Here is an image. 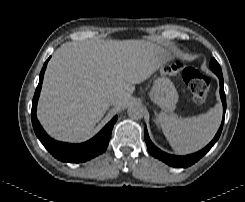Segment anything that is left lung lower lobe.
I'll return each instance as SVG.
<instances>
[{
	"instance_id": "left-lung-lower-lobe-1",
	"label": "left lung lower lobe",
	"mask_w": 245,
	"mask_h": 202,
	"mask_svg": "<svg viewBox=\"0 0 245 202\" xmlns=\"http://www.w3.org/2000/svg\"><path fill=\"white\" fill-rule=\"evenodd\" d=\"M216 75L218 76L219 81H220V96H221V100L223 103V120H222L221 126L217 134L215 135L214 139L205 148H203L199 152H196L194 154L187 155V156H174V155L167 154L161 151L160 149H158L156 146H154L149 138L147 129L145 127V132H144L145 142L147 144L148 151L150 152L152 156L162 160L163 162L167 163L170 166L185 168L197 162L215 144V142L220 137V134L223 128V123H224L225 111H226V97H225V92H224V87H223V75L222 74H216Z\"/></svg>"
}]
</instances>
